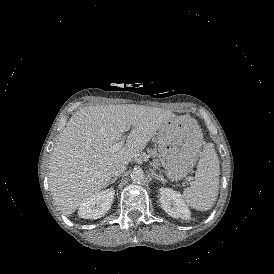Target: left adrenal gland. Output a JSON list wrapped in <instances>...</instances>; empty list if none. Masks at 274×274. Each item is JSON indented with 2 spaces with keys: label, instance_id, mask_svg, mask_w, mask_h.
Returning a JSON list of instances; mask_svg holds the SVG:
<instances>
[{
  "label": "left adrenal gland",
  "instance_id": "1",
  "mask_svg": "<svg viewBox=\"0 0 274 274\" xmlns=\"http://www.w3.org/2000/svg\"><path fill=\"white\" fill-rule=\"evenodd\" d=\"M151 177L160 183H164L162 179L158 178L157 174L153 170H151Z\"/></svg>",
  "mask_w": 274,
  "mask_h": 274
}]
</instances>
